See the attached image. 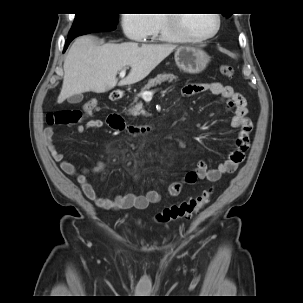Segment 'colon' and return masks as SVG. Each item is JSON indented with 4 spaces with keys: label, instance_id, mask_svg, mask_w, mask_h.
Here are the masks:
<instances>
[{
    "label": "colon",
    "instance_id": "obj_1",
    "mask_svg": "<svg viewBox=\"0 0 303 303\" xmlns=\"http://www.w3.org/2000/svg\"><path fill=\"white\" fill-rule=\"evenodd\" d=\"M220 73L225 77H232L234 68L228 64H223L220 66ZM97 106V101L93 99L85 103L83 110L59 109L51 111L46 115V123L50 126L78 124L83 121L85 116L92 115ZM211 194L212 189H208L197 197L167 207L155 216V220L159 223H167L171 220L191 218L204 208L209 202Z\"/></svg>",
    "mask_w": 303,
    "mask_h": 303
}]
</instances>
